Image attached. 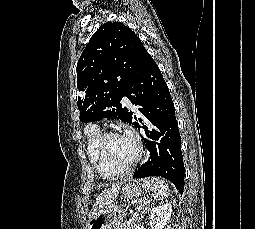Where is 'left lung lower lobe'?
<instances>
[{
  "label": "left lung lower lobe",
  "instance_id": "left-lung-lower-lobe-1",
  "mask_svg": "<svg viewBox=\"0 0 255 229\" xmlns=\"http://www.w3.org/2000/svg\"><path fill=\"white\" fill-rule=\"evenodd\" d=\"M123 96L139 106L142 116H134L136 121L132 122L133 114L128 112L127 122L144 130V140L151 150L149 160L135 170L133 177H164L182 194L185 168L174 104L159 67L146 49Z\"/></svg>",
  "mask_w": 255,
  "mask_h": 229
}]
</instances>
